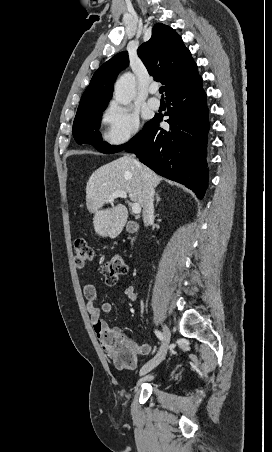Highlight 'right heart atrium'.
I'll return each mask as SVG.
<instances>
[{
    "label": "right heart atrium",
    "instance_id": "1",
    "mask_svg": "<svg viewBox=\"0 0 272 452\" xmlns=\"http://www.w3.org/2000/svg\"><path fill=\"white\" fill-rule=\"evenodd\" d=\"M103 139L110 146H119L137 136L140 131L139 116L130 108L110 103L101 116Z\"/></svg>",
    "mask_w": 272,
    "mask_h": 452
}]
</instances>
